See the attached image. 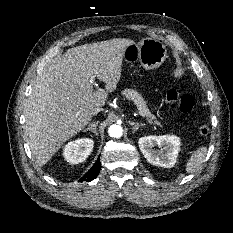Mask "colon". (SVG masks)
Returning <instances> with one entry per match:
<instances>
[{
    "label": "colon",
    "instance_id": "1",
    "mask_svg": "<svg viewBox=\"0 0 233 233\" xmlns=\"http://www.w3.org/2000/svg\"><path fill=\"white\" fill-rule=\"evenodd\" d=\"M165 99L169 105L179 108L184 114H191L195 110L196 101L191 94H183L175 89H170L166 92ZM198 133L203 137H207L210 128L208 125L202 124L198 128Z\"/></svg>",
    "mask_w": 233,
    "mask_h": 233
}]
</instances>
